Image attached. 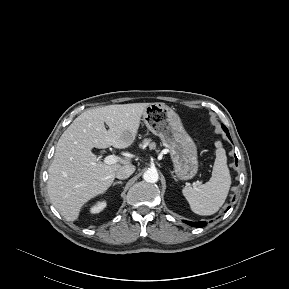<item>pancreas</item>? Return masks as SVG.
<instances>
[{"label":"pancreas","instance_id":"1","mask_svg":"<svg viewBox=\"0 0 289 289\" xmlns=\"http://www.w3.org/2000/svg\"><path fill=\"white\" fill-rule=\"evenodd\" d=\"M148 145H149L150 148H155V143H154V142H150L149 139H145V140L142 142V144H140V147H146V146H148Z\"/></svg>","mask_w":289,"mask_h":289}]
</instances>
